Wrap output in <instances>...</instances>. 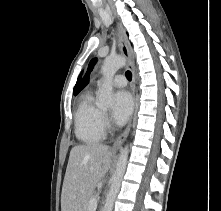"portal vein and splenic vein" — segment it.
I'll list each match as a JSON object with an SVG mask.
<instances>
[{"label": "portal vein and splenic vein", "mask_w": 221, "mask_h": 211, "mask_svg": "<svg viewBox=\"0 0 221 211\" xmlns=\"http://www.w3.org/2000/svg\"><path fill=\"white\" fill-rule=\"evenodd\" d=\"M97 208V198L93 197L89 203V211H95Z\"/></svg>", "instance_id": "obj_1"}]
</instances>
